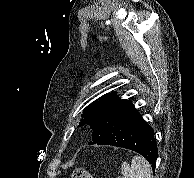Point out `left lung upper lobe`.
<instances>
[{"label": "left lung upper lobe", "instance_id": "obj_1", "mask_svg": "<svg viewBox=\"0 0 194 178\" xmlns=\"http://www.w3.org/2000/svg\"><path fill=\"white\" fill-rule=\"evenodd\" d=\"M121 101L122 99L116 93H108L100 97L97 101L86 107L79 125L87 124L93 129L99 120L114 109Z\"/></svg>", "mask_w": 194, "mask_h": 178}]
</instances>
